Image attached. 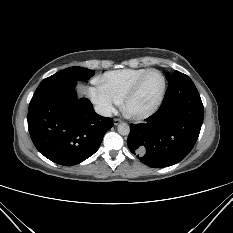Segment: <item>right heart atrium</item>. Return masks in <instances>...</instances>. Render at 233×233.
Segmentation results:
<instances>
[{"label": "right heart atrium", "mask_w": 233, "mask_h": 233, "mask_svg": "<svg viewBox=\"0 0 233 233\" xmlns=\"http://www.w3.org/2000/svg\"><path fill=\"white\" fill-rule=\"evenodd\" d=\"M87 94L97 110L103 115H110L114 111L115 106L119 103L114 96L98 83L89 87Z\"/></svg>", "instance_id": "right-heart-atrium-1"}]
</instances>
